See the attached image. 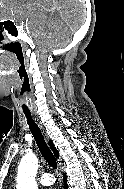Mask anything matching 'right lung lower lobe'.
Segmentation results:
<instances>
[{
    "label": "right lung lower lobe",
    "instance_id": "1",
    "mask_svg": "<svg viewBox=\"0 0 124 189\" xmlns=\"http://www.w3.org/2000/svg\"><path fill=\"white\" fill-rule=\"evenodd\" d=\"M64 186H65V188L67 189L68 187H67V182H66V176H64Z\"/></svg>",
    "mask_w": 124,
    "mask_h": 189
}]
</instances>
